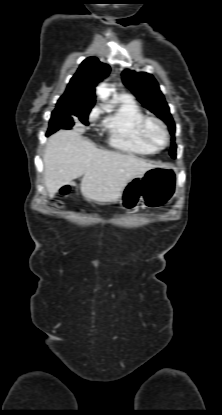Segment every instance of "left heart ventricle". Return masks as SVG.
I'll use <instances>...</instances> for the list:
<instances>
[{"label":"left heart ventricle","instance_id":"obj_1","mask_svg":"<svg viewBox=\"0 0 222 415\" xmlns=\"http://www.w3.org/2000/svg\"><path fill=\"white\" fill-rule=\"evenodd\" d=\"M149 135L157 143L164 142V136L159 126L152 124L149 128Z\"/></svg>","mask_w":222,"mask_h":415}]
</instances>
